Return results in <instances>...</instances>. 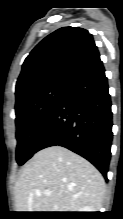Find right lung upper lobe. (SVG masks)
<instances>
[{
  "mask_svg": "<svg viewBox=\"0 0 123 219\" xmlns=\"http://www.w3.org/2000/svg\"><path fill=\"white\" fill-rule=\"evenodd\" d=\"M100 58L92 35L83 28L62 27L27 56L16 83V100L53 83H67Z\"/></svg>",
  "mask_w": 123,
  "mask_h": 219,
  "instance_id": "1",
  "label": "right lung upper lobe"
}]
</instances>
